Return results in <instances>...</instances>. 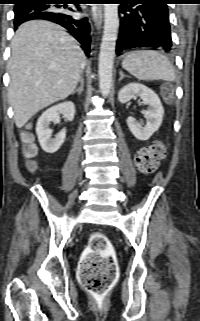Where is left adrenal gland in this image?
<instances>
[{
    "label": "left adrenal gland",
    "mask_w": 200,
    "mask_h": 321,
    "mask_svg": "<svg viewBox=\"0 0 200 321\" xmlns=\"http://www.w3.org/2000/svg\"><path fill=\"white\" fill-rule=\"evenodd\" d=\"M119 74H120L119 82H120L124 77H128V76L124 75V73H123L122 71H120Z\"/></svg>",
    "instance_id": "a2214340"
}]
</instances>
